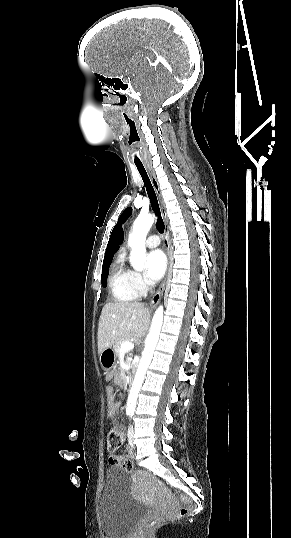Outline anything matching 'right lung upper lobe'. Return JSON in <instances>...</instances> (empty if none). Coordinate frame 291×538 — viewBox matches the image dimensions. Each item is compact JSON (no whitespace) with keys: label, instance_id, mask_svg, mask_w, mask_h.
Instances as JSON below:
<instances>
[{"label":"right lung upper lobe","instance_id":"obj_1","mask_svg":"<svg viewBox=\"0 0 291 538\" xmlns=\"http://www.w3.org/2000/svg\"><path fill=\"white\" fill-rule=\"evenodd\" d=\"M123 238V230L122 228L118 227V224H116L110 235L104 256V262L112 260L113 255L118 251L119 246L122 244Z\"/></svg>","mask_w":291,"mask_h":538}]
</instances>
